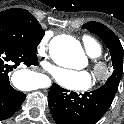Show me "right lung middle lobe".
I'll return each mask as SVG.
<instances>
[{"label":"right lung middle lobe","mask_w":124,"mask_h":124,"mask_svg":"<svg viewBox=\"0 0 124 124\" xmlns=\"http://www.w3.org/2000/svg\"><path fill=\"white\" fill-rule=\"evenodd\" d=\"M43 36L41 25L27 10L12 8L0 12V44L36 52Z\"/></svg>","instance_id":"obj_1"}]
</instances>
